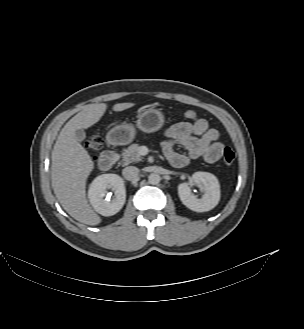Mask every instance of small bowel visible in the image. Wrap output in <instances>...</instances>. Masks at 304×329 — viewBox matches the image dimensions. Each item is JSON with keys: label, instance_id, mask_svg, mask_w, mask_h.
I'll list each match as a JSON object with an SVG mask.
<instances>
[{"label": "small bowel", "instance_id": "1", "mask_svg": "<svg viewBox=\"0 0 304 329\" xmlns=\"http://www.w3.org/2000/svg\"><path fill=\"white\" fill-rule=\"evenodd\" d=\"M167 141L163 143L162 150L168 162L175 168L185 167L190 161L202 158L208 163L217 162L224 149L218 142L219 132L211 128L205 119H198L193 123L179 122L165 131ZM181 145L186 152L175 150Z\"/></svg>", "mask_w": 304, "mask_h": 329}]
</instances>
